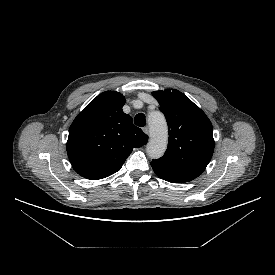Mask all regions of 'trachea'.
Instances as JSON below:
<instances>
[{"label":"trachea","mask_w":275,"mask_h":275,"mask_svg":"<svg viewBox=\"0 0 275 275\" xmlns=\"http://www.w3.org/2000/svg\"><path fill=\"white\" fill-rule=\"evenodd\" d=\"M134 123L139 127H144L146 124L145 115L143 113L137 114L134 118Z\"/></svg>","instance_id":"1"}]
</instances>
